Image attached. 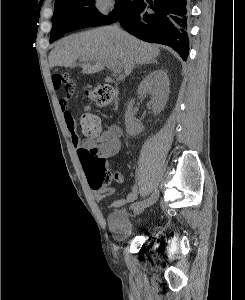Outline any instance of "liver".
<instances>
[{
	"label": "liver",
	"mask_w": 245,
	"mask_h": 300,
	"mask_svg": "<svg viewBox=\"0 0 245 300\" xmlns=\"http://www.w3.org/2000/svg\"><path fill=\"white\" fill-rule=\"evenodd\" d=\"M160 54L157 46L140 41L117 26H106L68 36L50 52V67H75L84 62L82 72L93 74L104 69V61L119 64L125 75L135 65L154 61ZM90 62H95L90 64Z\"/></svg>",
	"instance_id": "6515ba94"
}]
</instances>
